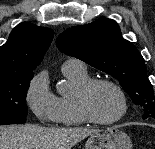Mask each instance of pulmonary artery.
Masks as SVG:
<instances>
[{"instance_id":"pulmonary-artery-1","label":"pulmonary artery","mask_w":155,"mask_h":149,"mask_svg":"<svg viewBox=\"0 0 155 149\" xmlns=\"http://www.w3.org/2000/svg\"><path fill=\"white\" fill-rule=\"evenodd\" d=\"M85 69V65L82 61L70 58L66 60L62 65V70H83Z\"/></svg>"}]
</instances>
